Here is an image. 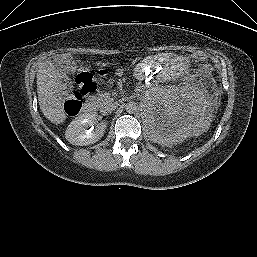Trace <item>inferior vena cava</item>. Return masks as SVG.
I'll return each mask as SVG.
<instances>
[{
  "mask_svg": "<svg viewBox=\"0 0 257 257\" xmlns=\"http://www.w3.org/2000/svg\"><path fill=\"white\" fill-rule=\"evenodd\" d=\"M117 108V104L112 101H108L101 109L103 114H108L114 111Z\"/></svg>",
  "mask_w": 257,
  "mask_h": 257,
  "instance_id": "602c4592",
  "label": "inferior vena cava"
}]
</instances>
